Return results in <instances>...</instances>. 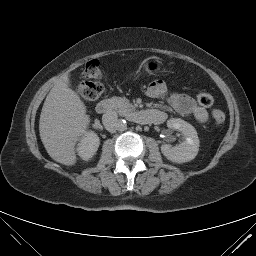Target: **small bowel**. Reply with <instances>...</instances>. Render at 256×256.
Instances as JSON below:
<instances>
[{"mask_svg":"<svg viewBox=\"0 0 256 256\" xmlns=\"http://www.w3.org/2000/svg\"><path fill=\"white\" fill-rule=\"evenodd\" d=\"M146 94L151 98H166L169 105L180 115H191L199 123H205L208 120V111L198 105L190 96L178 92L168 94L167 86L162 80L152 81L147 89ZM161 117V122L165 120V113L161 110L154 109ZM160 122V123H161Z\"/></svg>","mask_w":256,"mask_h":256,"instance_id":"c3829d8e","label":"small bowel"}]
</instances>
